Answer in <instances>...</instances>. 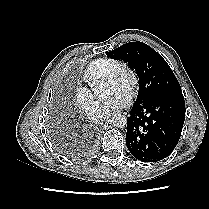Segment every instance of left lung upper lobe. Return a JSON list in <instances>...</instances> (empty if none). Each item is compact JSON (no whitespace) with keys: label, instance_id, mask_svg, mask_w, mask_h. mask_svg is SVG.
I'll return each mask as SVG.
<instances>
[{"label":"left lung upper lobe","instance_id":"1","mask_svg":"<svg viewBox=\"0 0 209 209\" xmlns=\"http://www.w3.org/2000/svg\"><path fill=\"white\" fill-rule=\"evenodd\" d=\"M110 58L123 60L135 69L139 77L136 105L145 103L162 94L181 90L167 62L145 43H126L106 53Z\"/></svg>","mask_w":209,"mask_h":209}]
</instances>
